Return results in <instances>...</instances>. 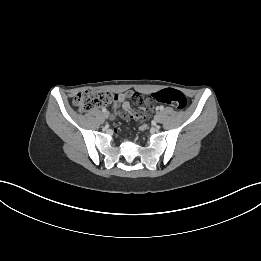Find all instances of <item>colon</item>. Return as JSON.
<instances>
[{"mask_svg":"<svg viewBox=\"0 0 261 261\" xmlns=\"http://www.w3.org/2000/svg\"><path fill=\"white\" fill-rule=\"evenodd\" d=\"M151 97L155 98V102L168 104L178 110L184 109L187 104L185 95L172 88L156 92ZM73 102L80 111L86 112L102 105L119 102V95L96 89H86L79 92Z\"/></svg>","mask_w":261,"mask_h":261,"instance_id":"1","label":"colon"}]
</instances>
